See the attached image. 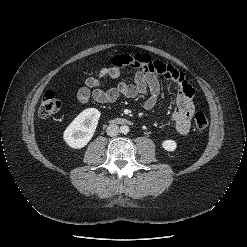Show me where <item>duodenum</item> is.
I'll return each instance as SVG.
<instances>
[{"instance_id":"1","label":"duodenum","mask_w":247,"mask_h":247,"mask_svg":"<svg viewBox=\"0 0 247 247\" xmlns=\"http://www.w3.org/2000/svg\"><path fill=\"white\" fill-rule=\"evenodd\" d=\"M120 123H127V120H125V119H119L118 120Z\"/></svg>"}]
</instances>
